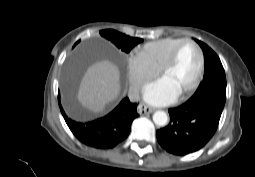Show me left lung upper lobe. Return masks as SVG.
Listing matches in <instances>:
<instances>
[{"label": "left lung upper lobe", "instance_id": "5c2ea615", "mask_svg": "<svg viewBox=\"0 0 255 177\" xmlns=\"http://www.w3.org/2000/svg\"><path fill=\"white\" fill-rule=\"evenodd\" d=\"M201 46L205 60V75L190 100H199L206 96H217L226 101V76L217 54L205 43L195 39Z\"/></svg>", "mask_w": 255, "mask_h": 177}]
</instances>
